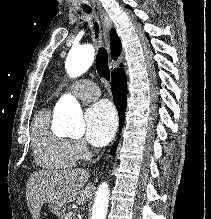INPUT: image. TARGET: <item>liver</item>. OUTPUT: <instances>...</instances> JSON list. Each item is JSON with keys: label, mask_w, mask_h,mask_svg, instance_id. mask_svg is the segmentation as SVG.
Returning a JSON list of instances; mask_svg holds the SVG:
<instances>
[{"label": "liver", "mask_w": 211, "mask_h": 219, "mask_svg": "<svg viewBox=\"0 0 211 219\" xmlns=\"http://www.w3.org/2000/svg\"><path fill=\"white\" fill-rule=\"evenodd\" d=\"M89 171L83 168L39 171L32 174L27 183V204L33 219L40 216L44 203L64 206L70 202L83 205L90 197Z\"/></svg>", "instance_id": "6515ba94"}]
</instances>
